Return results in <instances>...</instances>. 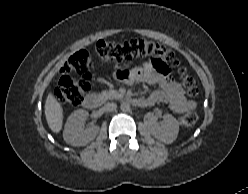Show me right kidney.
I'll use <instances>...</instances> for the list:
<instances>
[{
	"instance_id": "ca27d5eb",
	"label": "right kidney",
	"mask_w": 248,
	"mask_h": 194,
	"mask_svg": "<svg viewBox=\"0 0 248 194\" xmlns=\"http://www.w3.org/2000/svg\"><path fill=\"white\" fill-rule=\"evenodd\" d=\"M88 115L87 111L79 109L69 116L63 132V138L67 144L80 147L95 139L99 132V126L93 125L84 129V121Z\"/></svg>"
}]
</instances>
